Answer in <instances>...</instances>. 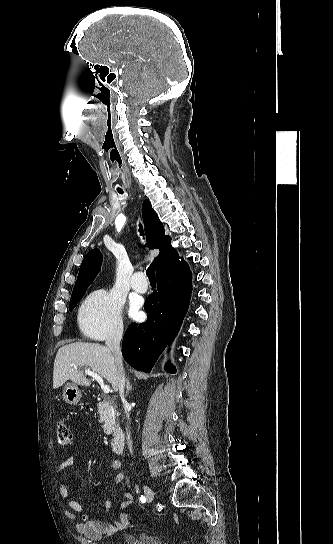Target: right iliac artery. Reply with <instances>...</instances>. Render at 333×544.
Listing matches in <instances>:
<instances>
[{"label": "right iliac artery", "instance_id": "82829eb1", "mask_svg": "<svg viewBox=\"0 0 333 544\" xmlns=\"http://www.w3.org/2000/svg\"><path fill=\"white\" fill-rule=\"evenodd\" d=\"M140 501H141V502H145V501H146V498H145L144 496H141V497H140Z\"/></svg>", "mask_w": 333, "mask_h": 544}]
</instances>
